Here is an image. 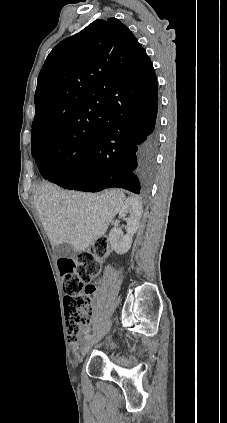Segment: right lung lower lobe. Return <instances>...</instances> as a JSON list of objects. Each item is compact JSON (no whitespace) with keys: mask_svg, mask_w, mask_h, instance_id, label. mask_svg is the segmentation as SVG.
Instances as JSON below:
<instances>
[{"mask_svg":"<svg viewBox=\"0 0 227 423\" xmlns=\"http://www.w3.org/2000/svg\"><path fill=\"white\" fill-rule=\"evenodd\" d=\"M157 100L158 89L150 96L133 97L109 107L111 122L100 131L92 151L72 169L49 181L85 192L111 187L136 194L146 191L158 147Z\"/></svg>","mask_w":227,"mask_h":423,"instance_id":"obj_1","label":"right lung lower lobe"}]
</instances>
